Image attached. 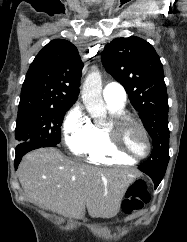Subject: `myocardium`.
<instances>
[{
  "instance_id": "obj_1",
  "label": "myocardium",
  "mask_w": 187,
  "mask_h": 242,
  "mask_svg": "<svg viewBox=\"0 0 187 242\" xmlns=\"http://www.w3.org/2000/svg\"><path fill=\"white\" fill-rule=\"evenodd\" d=\"M129 126L136 127L144 136L147 150L143 155L134 156L130 154L123 146V133ZM105 132L107 135L110 148L118 155L126 157L133 162L143 160L147 158L152 150V143L148 135L147 130L137 120L126 114L112 115L109 122L105 126Z\"/></svg>"
}]
</instances>
